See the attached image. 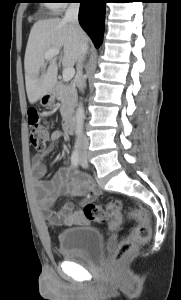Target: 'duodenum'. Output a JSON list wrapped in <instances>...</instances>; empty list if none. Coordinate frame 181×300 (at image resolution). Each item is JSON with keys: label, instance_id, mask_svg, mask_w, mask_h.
I'll return each instance as SVG.
<instances>
[{"label": "duodenum", "instance_id": "obj_1", "mask_svg": "<svg viewBox=\"0 0 181 300\" xmlns=\"http://www.w3.org/2000/svg\"><path fill=\"white\" fill-rule=\"evenodd\" d=\"M63 125H64L65 131L68 134H72L74 132V120L71 116H69V115L65 116Z\"/></svg>", "mask_w": 181, "mask_h": 300}]
</instances>
